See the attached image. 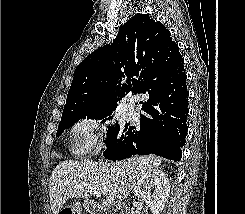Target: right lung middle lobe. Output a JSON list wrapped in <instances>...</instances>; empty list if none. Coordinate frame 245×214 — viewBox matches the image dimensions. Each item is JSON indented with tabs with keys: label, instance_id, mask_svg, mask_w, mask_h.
<instances>
[{
	"label": "right lung middle lobe",
	"instance_id": "right-lung-middle-lobe-1",
	"mask_svg": "<svg viewBox=\"0 0 245 214\" xmlns=\"http://www.w3.org/2000/svg\"><path fill=\"white\" fill-rule=\"evenodd\" d=\"M112 111L110 110H92V111H84V112H76V113H70V114H63L58 131L56 136H60L65 129L70 128L75 122L79 121L82 118H91V119H103L106 118L108 115H110ZM112 117H109L108 119H111ZM107 119V118H106ZM107 147L115 146L122 142V139L124 138V135L122 132H120V128H115L113 130L110 129L107 132Z\"/></svg>",
	"mask_w": 245,
	"mask_h": 214
}]
</instances>
